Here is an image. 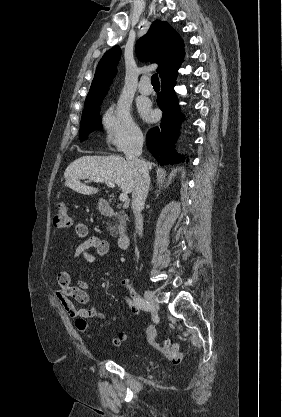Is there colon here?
I'll list each match as a JSON object with an SVG mask.
<instances>
[{
    "instance_id": "1",
    "label": "colon",
    "mask_w": 282,
    "mask_h": 417,
    "mask_svg": "<svg viewBox=\"0 0 282 417\" xmlns=\"http://www.w3.org/2000/svg\"><path fill=\"white\" fill-rule=\"evenodd\" d=\"M53 223L58 228H66L71 225L70 209L64 202H59L53 213ZM147 342L157 352L161 353L169 363L178 365L182 363L183 353L180 346L171 340L160 344L157 342V328L149 325L146 331Z\"/></svg>"
}]
</instances>
